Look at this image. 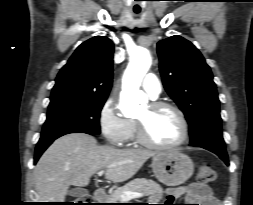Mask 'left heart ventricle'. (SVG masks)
Here are the masks:
<instances>
[{
	"label": "left heart ventricle",
	"mask_w": 253,
	"mask_h": 205,
	"mask_svg": "<svg viewBox=\"0 0 253 205\" xmlns=\"http://www.w3.org/2000/svg\"><path fill=\"white\" fill-rule=\"evenodd\" d=\"M145 122L150 139L160 145H170L182 136V125L177 114L170 109L152 112L147 106L138 116Z\"/></svg>",
	"instance_id": "left-heart-ventricle-1"
}]
</instances>
